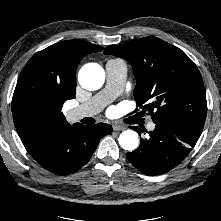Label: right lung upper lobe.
I'll list each match as a JSON object with an SVG mask.
<instances>
[{
    "label": "right lung upper lobe",
    "mask_w": 221,
    "mask_h": 221,
    "mask_svg": "<svg viewBox=\"0 0 221 221\" xmlns=\"http://www.w3.org/2000/svg\"><path fill=\"white\" fill-rule=\"evenodd\" d=\"M103 48L83 40H67L37 52L23 68L12 99L15 127L25 148H32L40 139L53 138L70 127L59 109L46 113H29L20 105L18 88L24 81H36L66 100L75 97L76 69L84 56ZM79 124V123H77Z\"/></svg>",
    "instance_id": "cb5924a9"
}]
</instances>
